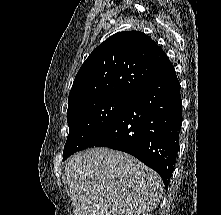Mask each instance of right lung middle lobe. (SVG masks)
Masks as SVG:
<instances>
[{
    "label": "right lung middle lobe",
    "mask_w": 221,
    "mask_h": 215,
    "mask_svg": "<svg viewBox=\"0 0 221 215\" xmlns=\"http://www.w3.org/2000/svg\"><path fill=\"white\" fill-rule=\"evenodd\" d=\"M131 96L109 94L68 106L69 134L64 146V159L91 146L120 115Z\"/></svg>",
    "instance_id": "right-lung-middle-lobe-1"
}]
</instances>
